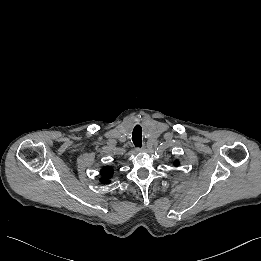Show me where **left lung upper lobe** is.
<instances>
[{
    "instance_id": "5c2ea615",
    "label": "left lung upper lobe",
    "mask_w": 261,
    "mask_h": 261,
    "mask_svg": "<svg viewBox=\"0 0 261 261\" xmlns=\"http://www.w3.org/2000/svg\"><path fill=\"white\" fill-rule=\"evenodd\" d=\"M179 164V162L178 161H175V165H178Z\"/></svg>"
}]
</instances>
